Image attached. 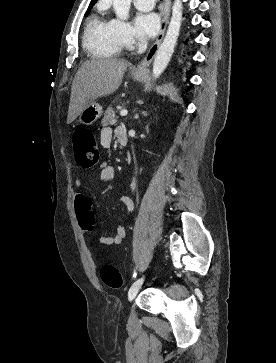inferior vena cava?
Instances as JSON below:
<instances>
[{
	"mask_svg": "<svg viewBox=\"0 0 276 363\" xmlns=\"http://www.w3.org/2000/svg\"><path fill=\"white\" fill-rule=\"evenodd\" d=\"M147 49V39L142 38L141 43L139 44L138 53H143Z\"/></svg>",
	"mask_w": 276,
	"mask_h": 363,
	"instance_id": "1",
	"label": "inferior vena cava"
}]
</instances>
